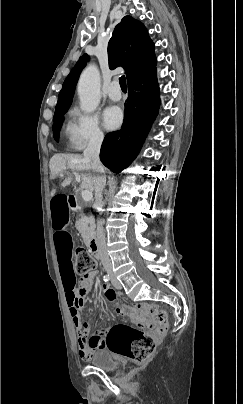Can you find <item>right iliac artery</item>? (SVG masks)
<instances>
[{"label":"right iliac artery","mask_w":243,"mask_h":404,"mask_svg":"<svg viewBox=\"0 0 243 404\" xmlns=\"http://www.w3.org/2000/svg\"><path fill=\"white\" fill-rule=\"evenodd\" d=\"M103 279H104L105 282H107V281L110 280V276H109V275H105V276L103 277Z\"/></svg>","instance_id":"1"}]
</instances>
